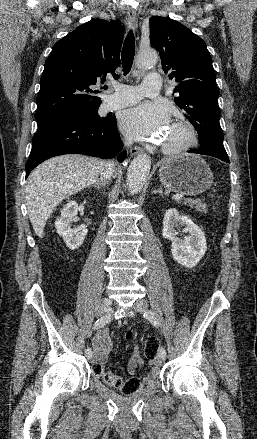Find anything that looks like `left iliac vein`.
<instances>
[{
	"label": "left iliac vein",
	"mask_w": 257,
	"mask_h": 439,
	"mask_svg": "<svg viewBox=\"0 0 257 439\" xmlns=\"http://www.w3.org/2000/svg\"><path fill=\"white\" fill-rule=\"evenodd\" d=\"M134 309L136 310V311H138V312H140V313H144V312H146L147 311V307H148V304H147V302L145 301V300H143V299H140V300H137L135 303H134ZM164 360H165V358H163V357H161L160 355L157 357V364L159 365V366H162V364L164 363Z\"/></svg>",
	"instance_id": "4c4485c4"
}]
</instances>
